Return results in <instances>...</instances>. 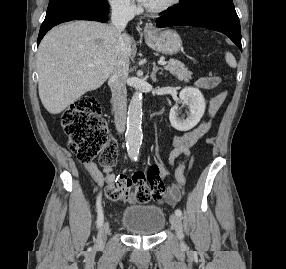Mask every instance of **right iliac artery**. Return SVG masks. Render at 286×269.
<instances>
[{"mask_svg": "<svg viewBox=\"0 0 286 269\" xmlns=\"http://www.w3.org/2000/svg\"><path fill=\"white\" fill-rule=\"evenodd\" d=\"M96 206H97V227H100L103 224L104 221V214H103V210L101 207V193L98 195L97 197V201H96Z\"/></svg>", "mask_w": 286, "mask_h": 269, "instance_id": "82829eb1", "label": "right iliac artery"}]
</instances>
